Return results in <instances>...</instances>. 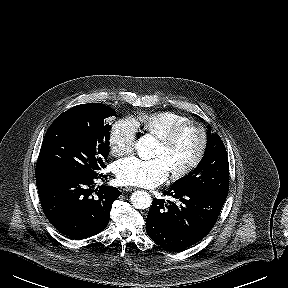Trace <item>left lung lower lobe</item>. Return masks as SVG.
Instances as JSON below:
<instances>
[{"label":"left lung lower lobe","instance_id":"left-lung-lower-lobe-1","mask_svg":"<svg viewBox=\"0 0 288 288\" xmlns=\"http://www.w3.org/2000/svg\"><path fill=\"white\" fill-rule=\"evenodd\" d=\"M154 199L146 218L149 237L161 247L179 251L202 240L213 228L226 199L199 190L171 187Z\"/></svg>","mask_w":288,"mask_h":288}]
</instances>
